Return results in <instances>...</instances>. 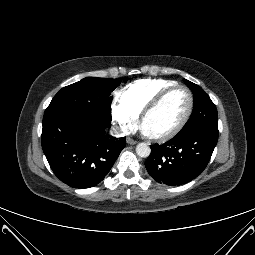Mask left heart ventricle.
Segmentation results:
<instances>
[{"instance_id":"b2bd125f","label":"left heart ventricle","mask_w":255,"mask_h":255,"mask_svg":"<svg viewBox=\"0 0 255 255\" xmlns=\"http://www.w3.org/2000/svg\"><path fill=\"white\" fill-rule=\"evenodd\" d=\"M188 104L189 98L185 90L178 89L173 91L146 118L144 127L153 135L170 131L182 120Z\"/></svg>"}]
</instances>
